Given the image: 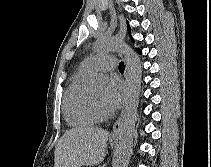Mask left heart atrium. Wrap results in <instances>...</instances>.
Segmentation results:
<instances>
[{"mask_svg": "<svg viewBox=\"0 0 211 167\" xmlns=\"http://www.w3.org/2000/svg\"><path fill=\"white\" fill-rule=\"evenodd\" d=\"M123 96V84L116 77L111 76L103 94V107L107 114L113 113L120 105Z\"/></svg>", "mask_w": 211, "mask_h": 167, "instance_id": "39dd6f15", "label": "left heart atrium"}]
</instances>
